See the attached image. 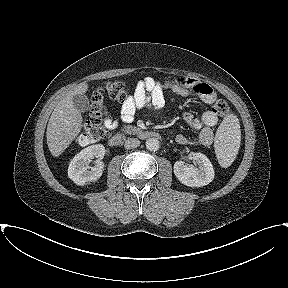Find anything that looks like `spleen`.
Masks as SVG:
<instances>
[{"label": "spleen", "instance_id": "3e777b00", "mask_svg": "<svg viewBox=\"0 0 288 288\" xmlns=\"http://www.w3.org/2000/svg\"><path fill=\"white\" fill-rule=\"evenodd\" d=\"M241 141L239 119L233 113L227 114L220 124L214 141L219 164L226 168L235 160Z\"/></svg>", "mask_w": 288, "mask_h": 288}]
</instances>
